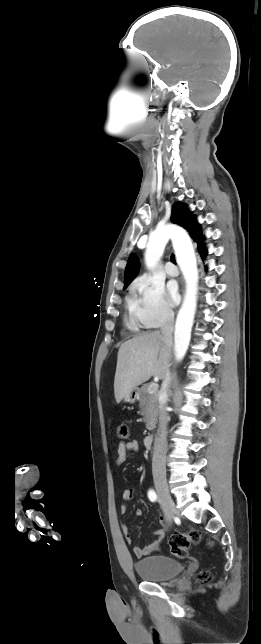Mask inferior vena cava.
Instances as JSON below:
<instances>
[{"label": "inferior vena cava", "mask_w": 261, "mask_h": 644, "mask_svg": "<svg viewBox=\"0 0 261 644\" xmlns=\"http://www.w3.org/2000/svg\"><path fill=\"white\" fill-rule=\"evenodd\" d=\"M174 329V313L171 310H166L163 314V323L161 326V333L164 337L165 343L168 346L172 345V333ZM171 374L169 370L166 373L162 382L161 388V401L159 404V428L157 436L154 441V451L152 457V473H166V453H167V423L169 421L167 413L168 395L167 390L170 388Z\"/></svg>", "instance_id": "obj_1"}]
</instances>
